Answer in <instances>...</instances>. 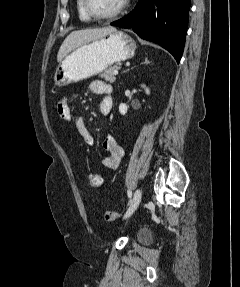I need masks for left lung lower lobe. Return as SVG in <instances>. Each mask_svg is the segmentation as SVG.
I'll return each instance as SVG.
<instances>
[{
  "instance_id": "0a47b994",
  "label": "left lung lower lobe",
  "mask_w": 240,
  "mask_h": 287,
  "mask_svg": "<svg viewBox=\"0 0 240 287\" xmlns=\"http://www.w3.org/2000/svg\"><path fill=\"white\" fill-rule=\"evenodd\" d=\"M191 0H139L125 17L111 23L132 28L145 40L168 50L179 63L186 38Z\"/></svg>"
}]
</instances>
